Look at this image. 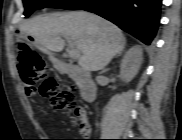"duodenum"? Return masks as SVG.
I'll return each mask as SVG.
<instances>
[{
    "label": "duodenum",
    "mask_w": 182,
    "mask_h": 140,
    "mask_svg": "<svg viewBox=\"0 0 182 140\" xmlns=\"http://www.w3.org/2000/svg\"><path fill=\"white\" fill-rule=\"evenodd\" d=\"M56 69L60 72L68 73L73 79L77 80L82 87L81 98L85 102H91L96 96V86L91 77L64 58L56 62Z\"/></svg>",
    "instance_id": "obj_1"
}]
</instances>
